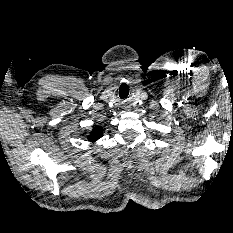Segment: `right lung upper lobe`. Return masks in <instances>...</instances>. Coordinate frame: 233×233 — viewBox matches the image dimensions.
<instances>
[{"label":"right lung upper lobe","mask_w":233,"mask_h":233,"mask_svg":"<svg viewBox=\"0 0 233 233\" xmlns=\"http://www.w3.org/2000/svg\"><path fill=\"white\" fill-rule=\"evenodd\" d=\"M102 131H103V129H102L101 126L95 127V128L93 129V131L90 132V135L88 136V139H89L90 141H96V140H98L99 138L102 137Z\"/></svg>","instance_id":"obj_1"}]
</instances>
